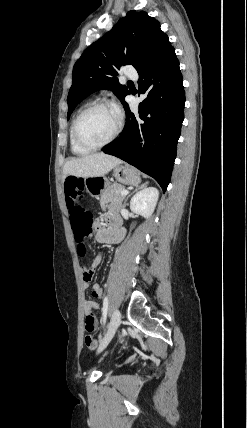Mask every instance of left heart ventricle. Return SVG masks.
Wrapping results in <instances>:
<instances>
[{
    "label": "left heart ventricle",
    "instance_id": "obj_1",
    "mask_svg": "<svg viewBox=\"0 0 247 428\" xmlns=\"http://www.w3.org/2000/svg\"><path fill=\"white\" fill-rule=\"evenodd\" d=\"M116 114L107 108H96L83 116L79 133L85 141L98 144L107 140L116 126Z\"/></svg>",
    "mask_w": 247,
    "mask_h": 428
}]
</instances>
